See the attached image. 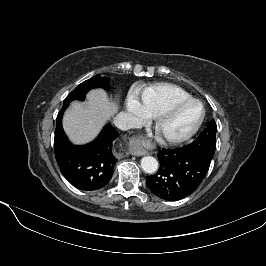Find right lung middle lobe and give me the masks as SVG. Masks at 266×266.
<instances>
[{
	"label": "right lung middle lobe",
	"mask_w": 266,
	"mask_h": 266,
	"mask_svg": "<svg viewBox=\"0 0 266 266\" xmlns=\"http://www.w3.org/2000/svg\"><path fill=\"white\" fill-rule=\"evenodd\" d=\"M110 86L107 77H101L99 74L79 84L64 100L63 106H68L73 100H84L86 93L92 88H104L107 90Z\"/></svg>",
	"instance_id": "right-lung-middle-lobe-1"
}]
</instances>
